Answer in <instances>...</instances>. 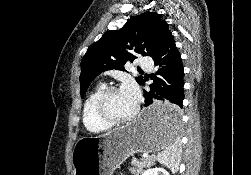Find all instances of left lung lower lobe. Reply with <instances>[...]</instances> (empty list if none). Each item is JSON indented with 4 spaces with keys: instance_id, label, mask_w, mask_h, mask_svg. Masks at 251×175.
I'll use <instances>...</instances> for the list:
<instances>
[{
    "instance_id": "1",
    "label": "left lung lower lobe",
    "mask_w": 251,
    "mask_h": 175,
    "mask_svg": "<svg viewBox=\"0 0 251 175\" xmlns=\"http://www.w3.org/2000/svg\"><path fill=\"white\" fill-rule=\"evenodd\" d=\"M152 58L159 67L156 72L158 76H152L154 82L150 85V91H144L145 107L157 105L144 113L142 121L154 126L177 124L182 119L184 70L171 32Z\"/></svg>"
}]
</instances>
